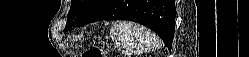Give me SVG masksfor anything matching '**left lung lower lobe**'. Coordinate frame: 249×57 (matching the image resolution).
<instances>
[{"instance_id":"obj_1","label":"left lung lower lobe","mask_w":249,"mask_h":57,"mask_svg":"<svg viewBox=\"0 0 249 57\" xmlns=\"http://www.w3.org/2000/svg\"><path fill=\"white\" fill-rule=\"evenodd\" d=\"M175 16L174 0H110L96 15L82 24L99 20L134 21L156 32L171 49Z\"/></svg>"}]
</instances>
